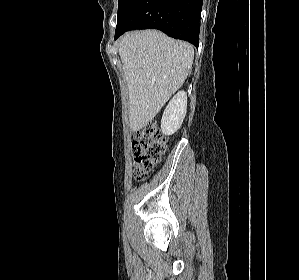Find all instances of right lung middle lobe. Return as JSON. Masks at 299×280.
<instances>
[{
  "label": "right lung middle lobe",
  "mask_w": 299,
  "mask_h": 280,
  "mask_svg": "<svg viewBox=\"0 0 299 280\" xmlns=\"http://www.w3.org/2000/svg\"><path fill=\"white\" fill-rule=\"evenodd\" d=\"M123 1H124V0H118V10H119V8L121 7Z\"/></svg>",
  "instance_id": "obj_1"
}]
</instances>
